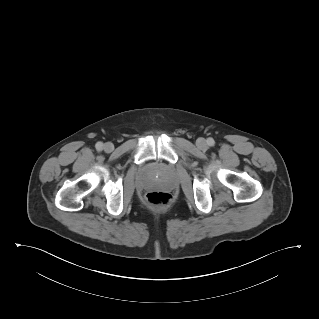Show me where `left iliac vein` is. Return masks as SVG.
Here are the masks:
<instances>
[{
  "mask_svg": "<svg viewBox=\"0 0 319 319\" xmlns=\"http://www.w3.org/2000/svg\"><path fill=\"white\" fill-rule=\"evenodd\" d=\"M197 146L201 149H205L207 148V143H206V140L204 138H199L197 139V142H196Z\"/></svg>",
  "mask_w": 319,
  "mask_h": 319,
  "instance_id": "left-iliac-vein-1",
  "label": "left iliac vein"
}]
</instances>
